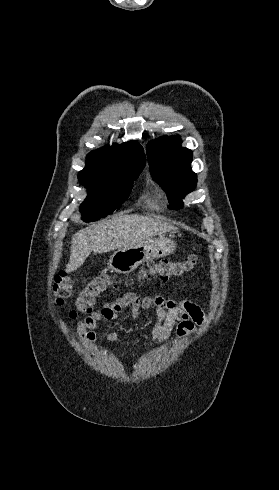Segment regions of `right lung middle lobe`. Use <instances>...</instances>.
<instances>
[{"mask_svg":"<svg viewBox=\"0 0 279 490\" xmlns=\"http://www.w3.org/2000/svg\"><path fill=\"white\" fill-rule=\"evenodd\" d=\"M142 169H125L103 178L78 175L80 183L88 189V195L80 206L82 219L90 222L112 214L128 198L133 180Z\"/></svg>","mask_w":279,"mask_h":490,"instance_id":"obj_1","label":"right lung middle lobe"}]
</instances>
